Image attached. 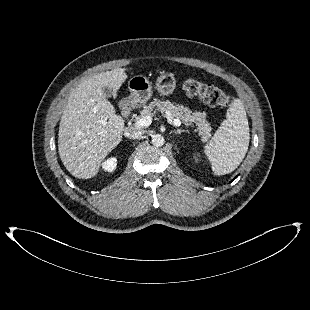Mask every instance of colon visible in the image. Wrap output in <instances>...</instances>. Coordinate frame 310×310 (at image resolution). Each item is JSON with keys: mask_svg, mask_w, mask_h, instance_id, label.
<instances>
[{"mask_svg": "<svg viewBox=\"0 0 310 310\" xmlns=\"http://www.w3.org/2000/svg\"><path fill=\"white\" fill-rule=\"evenodd\" d=\"M183 91L186 95L198 97L212 106L226 108L232 103V97L225 94L220 88L191 78L183 83Z\"/></svg>", "mask_w": 310, "mask_h": 310, "instance_id": "5ec220e1", "label": "colon"}]
</instances>
